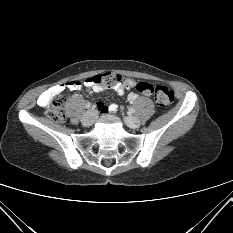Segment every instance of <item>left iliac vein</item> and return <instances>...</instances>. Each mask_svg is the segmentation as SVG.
<instances>
[{"label":"left iliac vein","instance_id":"1","mask_svg":"<svg viewBox=\"0 0 233 233\" xmlns=\"http://www.w3.org/2000/svg\"><path fill=\"white\" fill-rule=\"evenodd\" d=\"M125 123L127 124V126H129L130 128H138L140 126V120L137 117L134 116H127L125 117Z\"/></svg>","mask_w":233,"mask_h":233}]
</instances>
